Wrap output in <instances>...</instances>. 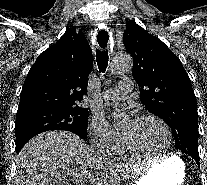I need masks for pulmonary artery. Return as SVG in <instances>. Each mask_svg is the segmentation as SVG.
I'll use <instances>...</instances> for the list:
<instances>
[{
  "label": "pulmonary artery",
  "mask_w": 207,
  "mask_h": 185,
  "mask_svg": "<svg viewBox=\"0 0 207 185\" xmlns=\"http://www.w3.org/2000/svg\"><path fill=\"white\" fill-rule=\"evenodd\" d=\"M121 90L119 86L111 88L103 93V97L110 100H122L127 98L130 91H134V81H120Z\"/></svg>",
  "instance_id": "pulmonary-artery-1"
}]
</instances>
